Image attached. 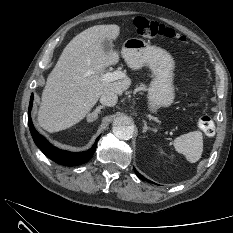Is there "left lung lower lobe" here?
<instances>
[{
    "instance_id": "1",
    "label": "left lung lower lobe",
    "mask_w": 233,
    "mask_h": 233,
    "mask_svg": "<svg viewBox=\"0 0 233 233\" xmlns=\"http://www.w3.org/2000/svg\"><path fill=\"white\" fill-rule=\"evenodd\" d=\"M134 171H135L136 175H137L140 179L146 180L141 174H139V173L136 171V169H134Z\"/></svg>"
}]
</instances>
